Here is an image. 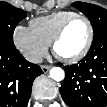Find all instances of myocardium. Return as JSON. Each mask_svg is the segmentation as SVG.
I'll return each mask as SVG.
<instances>
[{"label":"myocardium","instance_id":"f54148a6","mask_svg":"<svg viewBox=\"0 0 107 107\" xmlns=\"http://www.w3.org/2000/svg\"><path fill=\"white\" fill-rule=\"evenodd\" d=\"M76 19L84 20L88 26L89 35H88L87 42H86L85 46L83 47V49L75 56L67 57V58L60 57L56 52V46H57L58 42L61 40V38L63 37L67 27L70 25L71 22H73ZM93 40H94V28H93V25H92L91 21L89 20V18L82 14H75V15L69 17L68 19H66L62 23V25L59 27V29L56 31V33L52 39V42H51V47H52L53 53L59 59H61L65 63L73 64V63L80 61L88 54V52L93 44Z\"/></svg>","mask_w":107,"mask_h":107}]
</instances>
